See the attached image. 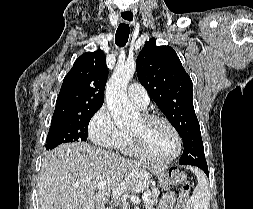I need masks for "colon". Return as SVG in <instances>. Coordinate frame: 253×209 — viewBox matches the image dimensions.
Instances as JSON below:
<instances>
[{"label":"colon","mask_w":253,"mask_h":209,"mask_svg":"<svg viewBox=\"0 0 253 209\" xmlns=\"http://www.w3.org/2000/svg\"><path fill=\"white\" fill-rule=\"evenodd\" d=\"M168 183L169 185H181L177 209H186V202L190 191V185L187 182L186 175L181 171L172 170L169 174Z\"/></svg>","instance_id":"obj_1"}]
</instances>
